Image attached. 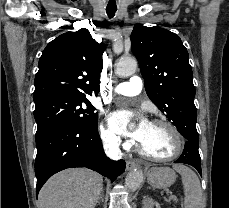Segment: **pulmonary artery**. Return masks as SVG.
<instances>
[{
  "instance_id": "obj_1",
  "label": "pulmonary artery",
  "mask_w": 229,
  "mask_h": 208,
  "mask_svg": "<svg viewBox=\"0 0 229 208\" xmlns=\"http://www.w3.org/2000/svg\"><path fill=\"white\" fill-rule=\"evenodd\" d=\"M128 78V77H121ZM143 89V80L137 75H132L126 81L120 82L115 88L114 93L124 96H134L139 94Z\"/></svg>"
}]
</instances>
